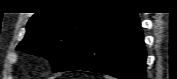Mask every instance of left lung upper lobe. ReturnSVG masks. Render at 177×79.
<instances>
[{"label": "left lung upper lobe", "mask_w": 177, "mask_h": 79, "mask_svg": "<svg viewBox=\"0 0 177 79\" xmlns=\"http://www.w3.org/2000/svg\"><path fill=\"white\" fill-rule=\"evenodd\" d=\"M106 13L101 10L35 13L28 22L25 38L16 49L48 58L53 64V71L58 72Z\"/></svg>", "instance_id": "left-lung-upper-lobe-1"}]
</instances>
